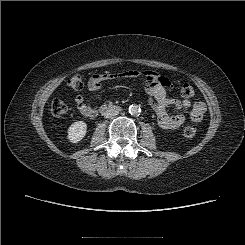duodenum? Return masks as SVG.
<instances>
[{
	"instance_id": "1",
	"label": "duodenum",
	"mask_w": 245,
	"mask_h": 245,
	"mask_svg": "<svg viewBox=\"0 0 245 245\" xmlns=\"http://www.w3.org/2000/svg\"><path fill=\"white\" fill-rule=\"evenodd\" d=\"M111 110H120V107L118 105L111 104V103H105L99 107L100 112L111 111Z\"/></svg>"
}]
</instances>
